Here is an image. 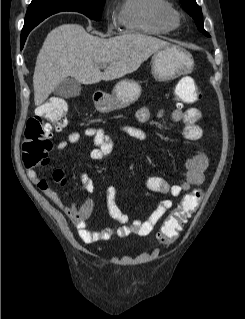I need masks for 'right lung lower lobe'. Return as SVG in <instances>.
<instances>
[{
  "label": "right lung lower lobe",
  "instance_id": "obj_1",
  "mask_svg": "<svg viewBox=\"0 0 245 319\" xmlns=\"http://www.w3.org/2000/svg\"><path fill=\"white\" fill-rule=\"evenodd\" d=\"M31 30H27V31H22V34H21V47H23L24 45V42L29 34Z\"/></svg>",
  "mask_w": 245,
  "mask_h": 319
}]
</instances>
